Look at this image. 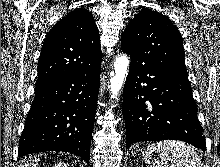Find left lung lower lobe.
<instances>
[{
	"label": "left lung lower lobe",
	"mask_w": 220,
	"mask_h": 167,
	"mask_svg": "<svg viewBox=\"0 0 220 167\" xmlns=\"http://www.w3.org/2000/svg\"><path fill=\"white\" fill-rule=\"evenodd\" d=\"M126 147L174 139L206 150L197 105L186 75L132 60L123 91Z\"/></svg>",
	"instance_id": "obj_1"
}]
</instances>
